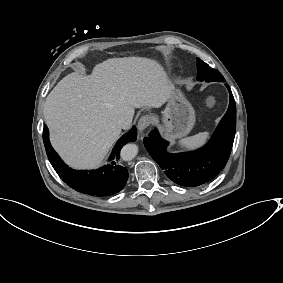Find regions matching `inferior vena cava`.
Wrapping results in <instances>:
<instances>
[{"instance_id": "602c4592", "label": "inferior vena cava", "mask_w": 283, "mask_h": 283, "mask_svg": "<svg viewBox=\"0 0 283 283\" xmlns=\"http://www.w3.org/2000/svg\"><path fill=\"white\" fill-rule=\"evenodd\" d=\"M118 125L122 128V129H128L129 127V123L124 119V118H121L118 120Z\"/></svg>"}]
</instances>
